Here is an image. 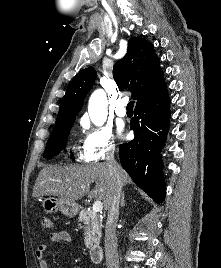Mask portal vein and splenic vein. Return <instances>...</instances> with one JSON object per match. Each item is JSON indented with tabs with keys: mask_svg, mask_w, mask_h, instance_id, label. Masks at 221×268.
I'll return each instance as SVG.
<instances>
[{
	"mask_svg": "<svg viewBox=\"0 0 221 268\" xmlns=\"http://www.w3.org/2000/svg\"><path fill=\"white\" fill-rule=\"evenodd\" d=\"M102 209H103V204H102V202L99 201V200H96V201L93 203V207H92L93 212L98 213V212L102 211Z\"/></svg>",
	"mask_w": 221,
	"mask_h": 268,
	"instance_id": "1",
	"label": "portal vein and splenic vein"
}]
</instances>
